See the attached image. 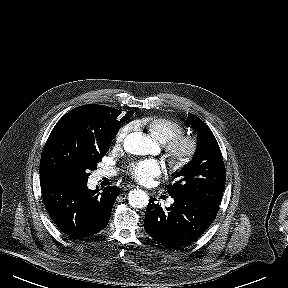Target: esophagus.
<instances>
[{"instance_id": "esophagus-1", "label": "esophagus", "mask_w": 288, "mask_h": 288, "mask_svg": "<svg viewBox=\"0 0 288 288\" xmlns=\"http://www.w3.org/2000/svg\"><path fill=\"white\" fill-rule=\"evenodd\" d=\"M132 188H134V186L128 185V186H125V187H124V190H129V189H132Z\"/></svg>"}]
</instances>
